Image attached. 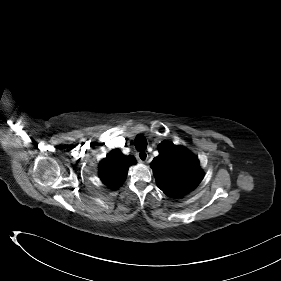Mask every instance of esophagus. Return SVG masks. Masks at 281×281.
I'll list each match as a JSON object with an SVG mask.
<instances>
[{
	"label": "esophagus",
	"instance_id": "esophagus-1",
	"mask_svg": "<svg viewBox=\"0 0 281 281\" xmlns=\"http://www.w3.org/2000/svg\"><path fill=\"white\" fill-rule=\"evenodd\" d=\"M137 158L141 163H144L148 160V153L146 151H140L137 153Z\"/></svg>",
	"mask_w": 281,
	"mask_h": 281
}]
</instances>
